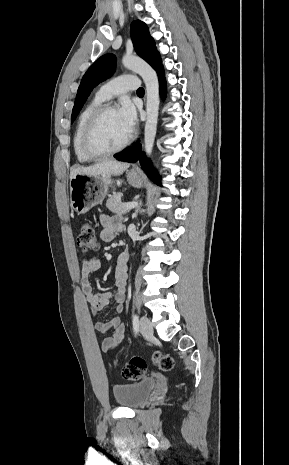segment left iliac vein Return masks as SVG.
<instances>
[{
  "mask_svg": "<svg viewBox=\"0 0 289 465\" xmlns=\"http://www.w3.org/2000/svg\"><path fill=\"white\" fill-rule=\"evenodd\" d=\"M140 331L147 338L153 335L152 324L146 316H142L140 319Z\"/></svg>",
  "mask_w": 289,
  "mask_h": 465,
  "instance_id": "obj_1",
  "label": "left iliac vein"
}]
</instances>
